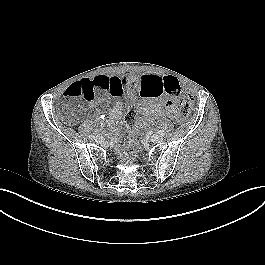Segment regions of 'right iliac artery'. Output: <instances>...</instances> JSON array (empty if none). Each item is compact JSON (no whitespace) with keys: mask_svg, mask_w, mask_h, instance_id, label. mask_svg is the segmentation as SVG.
<instances>
[{"mask_svg":"<svg viewBox=\"0 0 265 265\" xmlns=\"http://www.w3.org/2000/svg\"><path fill=\"white\" fill-rule=\"evenodd\" d=\"M89 139H91V140L95 139V135H93V134L89 135Z\"/></svg>","mask_w":265,"mask_h":265,"instance_id":"obj_1","label":"right iliac artery"}]
</instances>
